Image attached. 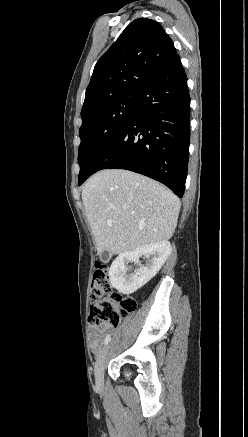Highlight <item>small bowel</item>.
<instances>
[{"instance_id": "obj_1", "label": "small bowel", "mask_w": 248, "mask_h": 437, "mask_svg": "<svg viewBox=\"0 0 248 437\" xmlns=\"http://www.w3.org/2000/svg\"><path fill=\"white\" fill-rule=\"evenodd\" d=\"M112 332H113V327H111L110 325H103L101 327L92 329L90 332L92 348L95 350L98 349V347L101 343V340H102V335L108 336Z\"/></svg>"}]
</instances>
